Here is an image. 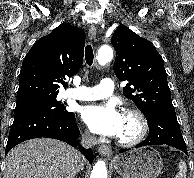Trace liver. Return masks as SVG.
Instances as JSON below:
<instances>
[{
	"label": "liver",
	"instance_id": "1",
	"mask_svg": "<svg viewBox=\"0 0 194 178\" xmlns=\"http://www.w3.org/2000/svg\"><path fill=\"white\" fill-rule=\"evenodd\" d=\"M83 164L81 153L64 142L31 139L8 153L3 178H74Z\"/></svg>",
	"mask_w": 194,
	"mask_h": 178
}]
</instances>
